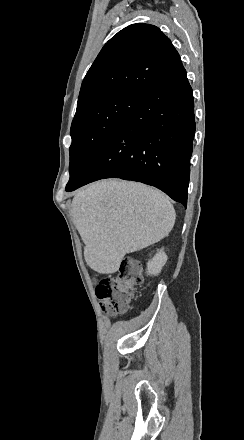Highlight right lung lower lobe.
<instances>
[{
  "label": "right lung lower lobe",
  "instance_id": "98d812e1",
  "mask_svg": "<svg viewBox=\"0 0 244 440\" xmlns=\"http://www.w3.org/2000/svg\"><path fill=\"white\" fill-rule=\"evenodd\" d=\"M194 134L193 93L182 66L139 99L66 191L121 178L157 187L186 207Z\"/></svg>",
  "mask_w": 244,
  "mask_h": 440
}]
</instances>
